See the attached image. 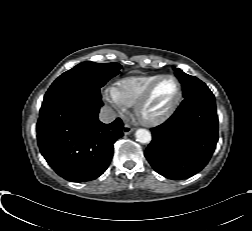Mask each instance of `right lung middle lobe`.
I'll return each instance as SVG.
<instances>
[{
  "label": "right lung middle lobe",
  "mask_w": 252,
  "mask_h": 231,
  "mask_svg": "<svg viewBox=\"0 0 252 231\" xmlns=\"http://www.w3.org/2000/svg\"><path fill=\"white\" fill-rule=\"evenodd\" d=\"M118 63L82 62L59 76L44 96L43 103L70 94L90 95L101 98L100 88L119 73Z\"/></svg>",
  "instance_id": "obj_1"
}]
</instances>
